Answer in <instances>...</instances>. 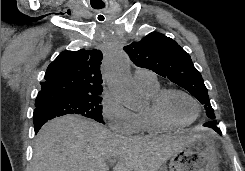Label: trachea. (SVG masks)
<instances>
[{
	"mask_svg": "<svg viewBox=\"0 0 245 171\" xmlns=\"http://www.w3.org/2000/svg\"><path fill=\"white\" fill-rule=\"evenodd\" d=\"M104 6H105L104 3L100 2L98 3V5L95 6V9H100L103 8ZM99 20L103 21L104 19L99 17Z\"/></svg>",
	"mask_w": 245,
	"mask_h": 171,
	"instance_id": "3493384b",
	"label": "trachea"
}]
</instances>
